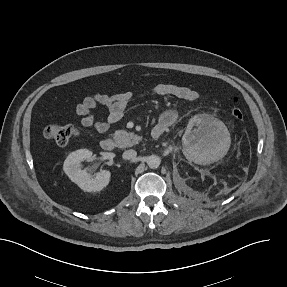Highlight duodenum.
Instances as JSON below:
<instances>
[{
  "label": "duodenum",
  "mask_w": 287,
  "mask_h": 287,
  "mask_svg": "<svg viewBox=\"0 0 287 287\" xmlns=\"http://www.w3.org/2000/svg\"><path fill=\"white\" fill-rule=\"evenodd\" d=\"M164 128L162 125L153 127V129L151 130V137L153 139H157L159 138L163 132H164ZM100 146L104 151H113L115 149L116 146V142L114 139L110 138V137H106L104 139H102V141L100 142Z\"/></svg>",
  "instance_id": "duodenum-1"
}]
</instances>
